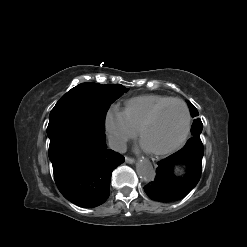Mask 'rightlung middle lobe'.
I'll use <instances>...</instances> for the list:
<instances>
[{
  "instance_id": "1",
  "label": "right lung middle lobe",
  "mask_w": 247,
  "mask_h": 247,
  "mask_svg": "<svg viewBox=\"0 0 247 247\" xmlns=\"http://www.w3.org/2000/svg\"><path fill=\"white\" fill-rule=\"evenodd\" d=\"M129 89L120 84L82 83L61 97L49 119L78 115L105 129V115L111 103Z\"/></svg>"
}]
</instances>
